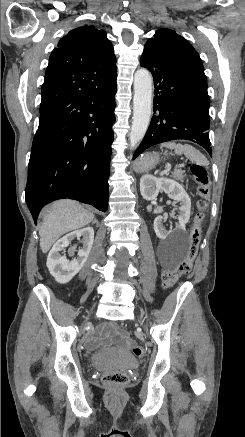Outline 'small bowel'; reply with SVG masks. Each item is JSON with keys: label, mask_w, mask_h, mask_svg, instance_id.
<instances>
[{"label": "small bowel", "mask_w": 245, "mask_h": 437, "mask_svg": "<svg viewBox=\"0 0 245 437\" xmlns=\"http://www.w3.org/2000/svg\"><path fill=\"white\" fill-rule=\"evenodd\" d=\"M102 331L105 334L116 338L117 341L124 346H129L131 344V340L125 334L120 333V332H116L112 328L105 327L102 329Z\"/></svg>", "instance_id": "c3829d8e"}]
</instances>
